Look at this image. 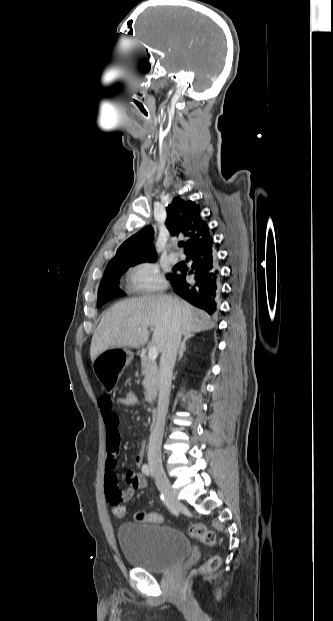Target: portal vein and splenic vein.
<instances>
[{
  "instance_id": "1",
  "label": "portal vein and splenic vein",
  "mask_w": 333,
  "mask_h": 621,
  "mask_svg": "<svg viewBox=\"0 0 333 621\" xmlns=\"http://www.w3.org/2000/svg\"><path fill=\"white\" fill-rule=\"evenodd\" d=\"M138 331H141V328H138ZM158 356V350L155 346H151L149 348L148 357L150 360L155 361Z\"/></svg>"
}]
</instances>
